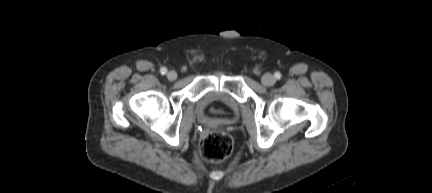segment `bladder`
<instances>
[{
  "instance_id": "obj_1",
  "label": "bladder",
  "mask_w": 432,
  "mask_h": 193,
  "mask_svg": "<svg viewBox=\"0 0 432 193\" xmlns=\"http://www.w3.org/2000/svg\"><path fill=\"white\" fill-rule=\"evenodd\" d=\"M214 104L220 106V111L215 116L207 118L205 120L206 123H216L220 120L226 119V110L233 109L236 106L234 99L221 91L207 92L198 100V105L202 109H206Z\"/></svg>"
}]
</instances>
